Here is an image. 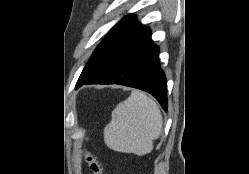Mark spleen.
<instances>
[{
  "instance_id": "obj_1",
  "label": "spleen",
  "mask_w": 249,
  "mask_h": 174,
  "mask_svg": "<svg viewBox=\"0 0 249 174\" xmlns=\"http://www.w3.org/2000/svg\"><path fill=\"white\" fill-rule=\"evenodd\" d=\"M163 119L155 101L140 91L113 110L111 122L104 127V141L114 151L146 155L162 131Z\"/></svg>"
}]
</instances>
